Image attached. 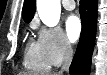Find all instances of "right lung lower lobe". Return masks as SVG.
<instances>
[{
  "label": "right lung lower lobe",
  "mask_w": 107,
  "mask_h": 75,
  "mask_svg": "<svg viewBox=\"0 0 107 75\" xmlns=\"http://www.w3.org/2000/svg\"><path fill=\"white\" fill-rule=\"evenodd\" d=\"M97 0H80L82 31L70 66V75H89L96 37Z\"/></svg>",
  "instance_id": "right-lung-lower-lobe-1"
}]
</instances>
